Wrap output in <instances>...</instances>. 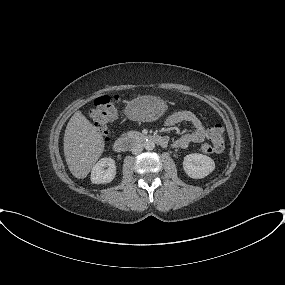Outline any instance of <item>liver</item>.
<instances>
[{"label":"liver","instance_id":"obj_1","mask_svg":"<svg viewBox=\"0 0 285 285\" xmlns=\"http://www.w3.org/2000/svg\"><path fill=\"white\" fill-rule=\"evenodd\" d=\"M102 135L82 114L76 111L64 134V156L72 175L85 178L104 151Z\"/></svg>","mask_w":285,"mask_h":285}]
</instances>
